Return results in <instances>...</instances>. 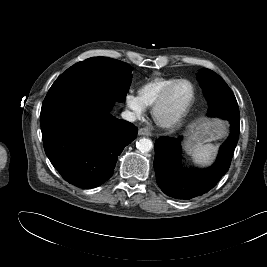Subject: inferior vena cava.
<instances>
[{"instance_id": "602c4592", "label": "inferior vena cava", "mask_w": 267, "mask_h": 267, "mask_svg": "<svg viewBox=\"0 0 267 267\" xmlns=\"http://www.w3.org/2000/svg\"><path fill=\"white\" fill-rule=\"evenodd\" d=\"M122 118L129 121V122H134L136 121V115L135 113L129 111V110H126L124 112H122L121 114Z\"/></svg>"}]
</instances>
